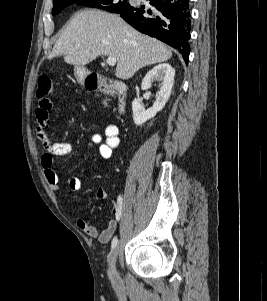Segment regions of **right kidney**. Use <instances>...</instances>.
<instances>
[{"mask_svg": "<svg viewBox=\"0 0 267 301\" xmlns=\"http://www.w3.org/2000/svg\"><path fill=\"white\" fill-rule=\"evenodd\" d=\"M175 69L169 64L163 63L155 66L144 77L141 88L146 90L151 87L154 81L160 82V90L157 94L153 107L145 110L144 106L134 99L132 102L133 120L137 126L142 125L147 120L153 118L157 112L161 111L167 103L174 84Z\"/></svg>", "mask_w": 267, "mask_h": 301, "instance_id": "1", "label": "right kidney"}]
</instances>
